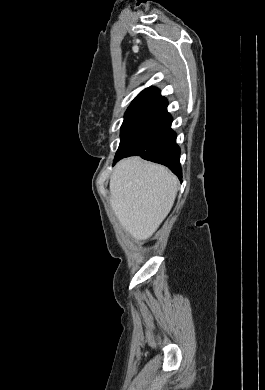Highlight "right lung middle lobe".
Returning <instances> with one entry per match:
<instances>
[{
	"mask_svg": "<svg viewBox=\"0 0 265 390\" xmlns=\"http://www.w3.org/2000/svg\"><path fill=\"white\" fill-rule=\"evenodd\" d=\"M153 101L137 99L133 100L124 115V121L121 126V138L131 125V123L138 117L145 109H147Z\"/></svg>",
	"mask_w": 265,
	"mask_h": 390,
	"instance_id": "right-lung-middle-lobe-1",
	"label": "right lung middle lobe"
}]
</instances>
